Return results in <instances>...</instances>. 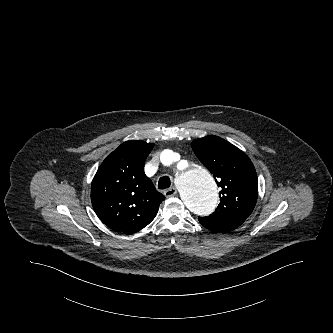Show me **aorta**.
Listing matches in <instances>:
<instances>
[{
	"label": "aorta",
	"mask_w": 333,
	"mask_h": 333,
	"mask_svg": "<svg viewBox=\"0 0 333 333\" xmlns=\"http://www.w3.org/2000/svg\"><path fill=\"white\" fill-rule=\"evenodd\" d=\"M174 152L164 150L162 162L173 161ZM178 189L183 204L196 216L206 217L215 211L218 204V190L212 175L204 168L188 161L184 171L178 177Z\"/></svg>",
	"instance_id": "aorta-1"
}]
</instances>
